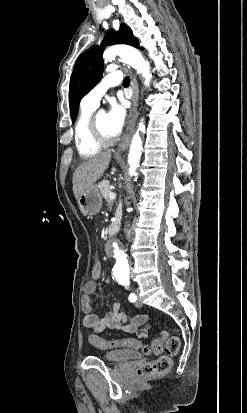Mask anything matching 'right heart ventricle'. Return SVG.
<instances>
[{"mask_svg": "<svg viewBox=\"0 0 247 413\" xmlns=\"http://www.w3.org/2000/svg\"><path fill=\"white\" fill-rule=\"evenodd\" d=\"M83 112L75 127V143L81 158L88 159L98 155L102 146L98 145L91 136V111Z\"/></svg>", "mask_w": 247, "mask_h": 413, "instance_id": "right-heart-ventricle-1", "label": "right heart ventricle"}]
</instances>
